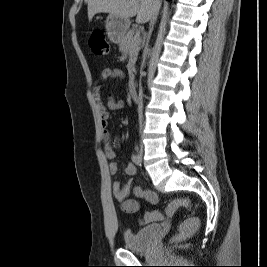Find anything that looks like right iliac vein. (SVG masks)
<instances>
[{"label":"right iliac vein","instance_id":"63e3f726","mask_svg":"<svg viewBox=\"0 0 267 267\" xmlns=\"http://www.w3.org/2000/svg\"><path fill=\"white\" fill-rule=\"evenodd\" d=\"M138 156H139L140 159H142V156H143V151L142 150L138 151Z\"/></svg>","mask_w":267,"mask_h":267}]
</instances>
